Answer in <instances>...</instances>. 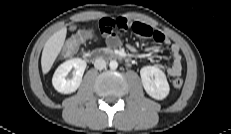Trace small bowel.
<instances>
[{"mask_svg": "<svg viewBox=\"0 0 231 134\" xmlns=\"http://www.w3.org/2000/svg\"><path fill=\"white\" fill-rule=\"evenodd\" d=\"M105 37L106 42L110 46L120 45V37L118 35L119 30H132L135 34L143 38H151L155 42L169 47L172 57V63L167 69V73L172 76H180L182 73V56L180 48L177 44H174L166 37L161 31L152 28L150 25L139 22L131 21L124 17L119 18H103L99 21L97 27L89 28V35L95 30Z\"/></svg>", "mask_w": 231, "mask_h": 134, "instance_id": "1", "label": "small bowel"}]
</instances>
